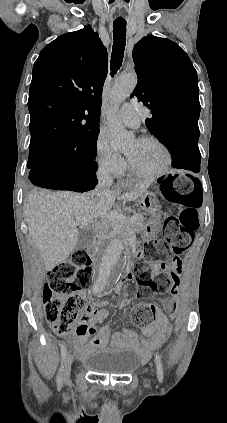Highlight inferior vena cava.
Masks as SVG:
<instances>
[{"instance_id":"1","label":"inferior vena cava","mask_w":227,"mask_h":423,"mask_svg":"<svg viewBox=\"0 0 227 423\" xmlns=\"http://www.w3.org/2000/svg\"><path fill=\"white\" fill-rule=\"evenodd\" d=\"M96 176L98 180V184H97L98 192H107V190H110L113 184V178L110 174L108 164H99V168L96 172Z\"/></svg>"}]
</instances>
